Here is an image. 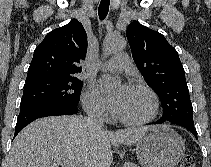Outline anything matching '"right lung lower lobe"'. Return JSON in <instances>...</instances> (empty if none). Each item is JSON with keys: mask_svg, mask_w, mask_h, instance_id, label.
Segmentation results:
<instances>
[{"mask_svg": "<svg viewBox=\"0 0 211 167\" xmlns=\"http://www.w3.org/2000/svg\"><path fill=\"white\" fill-rule=\"evenodd\" d=\"M77 112V106L61 104L38 105L21 109L17 118L14 138L25 126L38 118L57 115H72Z\"/></svg>", "mask_w": 211, "mask_h": 167, "instance_id": "obj_1", "label": "right lung lower lobe"}]
</instances>
